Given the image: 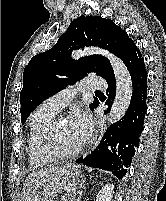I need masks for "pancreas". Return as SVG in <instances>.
I'll return each instance as SVG.
<instances>
[{
  "label": "pancreas",
  "instance_id": "cf45deb5",
  "mask_svg": "<svg viewBox=\"0 0 166 201\" xmlns=\"http://www.w3.org/2000/svg\"><path fill=\"white\" fill-rule=\"evenodd\" d=\"M75 196L76 193L71 189L69 192L65 194L64 198L61 201H76Z\"/></svg>",
  "mask_w": 166,
  "mask_h": 201
}]
</instances>
